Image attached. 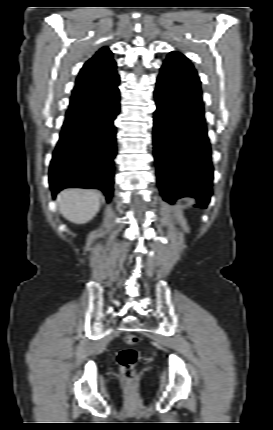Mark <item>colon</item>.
<instances>
[{
	"label": "colon",
	"instance_id": "5ec220e1",
	"mask_svg": "<svg viewBox=\"0 0 273 430\" xmlns=\"http://www.w3.org/2000/svg\"><path fill=\"white\" fill-rule=\"evenodd\" d=\"M123 341L127 347L119 352L117 362L124 381L131 385L135 379V366L139 359V352L135 349L139 339L134 334L126 333Z\"/></svg>",
	"mask_w": 273,
	"mask_h": 430
}]
</instances>
